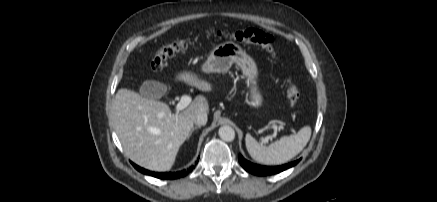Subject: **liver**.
<instances>
[{
    "label": "liver",
    "instance_id": "6515ba94",
    "mask_svg": "<svg viewBox=\"0 0 437 202\" xmlns=\"http://www.w3.org/2000/svg\"><path fill=\"white\" fill-rule=\"evenodd\" d=\"M176 80L201 91L212 90L209 82L191 71L178 73ZM201 111H209L208 101L202 95L174 114L167 104L126 88L118 90L112 104L115 131L125 155L152 171L171 169L179 148L193 130L194 116Z\"/></svg>",
    "mask_w": 437,
    "mask_h": 202
}]
</instances>
